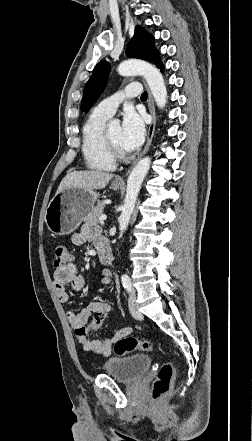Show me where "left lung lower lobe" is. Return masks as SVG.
I'll list each match as a JSON object with an SVG mask.
<instances>
[{"mask_svg":"<svg viewBox=\"0 0 252 441\" xmlns=\"http://www.w3.org/2000/svg\"><path fill=\"white\" fill-rule=\"evenodd\" d=\"M156 66H157L158 68H160V70L163 72L164 67H163V64L161 63L160 59H159V61L156 63Z\"/></svg>","mask_w":252,"mask_h":441,"instance_id":"1","label":"left lung lower lobe"}]
</instances>
